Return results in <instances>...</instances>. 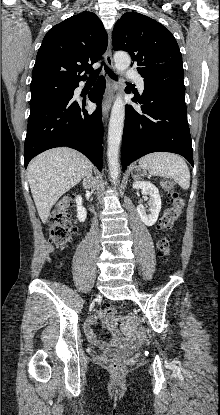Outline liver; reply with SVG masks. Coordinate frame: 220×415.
Returning a JSON list of instances; mask_svg holds the SVG:
<instances>
[{"label":"liver","instance_id":"1","mask_svg":"<svg viewBox=\"0 0 220 415\" xmlns=\"http://www.w3.org/2000/svg\"><path fill=\"white\" fill-rule=\"evenodd\" d=\"M91 171L92 163L80 152L67 147L50 149L32 160L28 181L43 223L58 199Z\"/></svg>","mask_w":220,"mask_h":415}]
</instances>
